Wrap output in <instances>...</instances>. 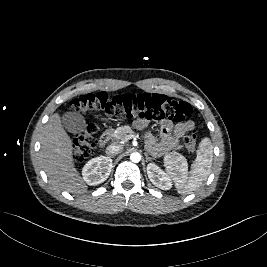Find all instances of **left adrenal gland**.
I'll use <instances>...</instances> for the list:
<instances>
[{"mask_svg": "<svg viewBox=\"0 0 267 267\" xmlns=\"http://www.w3.org/2000/svg\"><path fill=\"white\" fill-rule=\"evenodd\" d=\"M146 155V161H149V160H152V159H154V158H152V157H149V155L148 154H145Z\"/></svg>", "mask_w": 267, "mask_h": 267, "instance_id": "a2214340", "label": "left adrenal gland"}]
</instances>
